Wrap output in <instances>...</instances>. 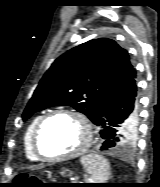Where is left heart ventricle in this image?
<instances>
[{"mask_svg":"<svg viewBox=\"0 0 160 187\" xmlns=\"http://www.w3.org/2000/svg\"><path fill=\"white\" fill-rule=\"evenodd\" d=\"M84 139L85 129L79 119L58 115L45 124L40 136V147L47 155L68 154L79 148Z\"/></svg>","mask_w":160,"mask_h":187,"instance_id":"1","label":"left heart ventricle"}]
</instances>
